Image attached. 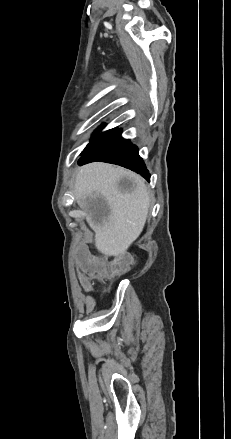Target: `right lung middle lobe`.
<instances>
[{"label":"right lung middle lobe","instance_id":"right-lung-middle-lobe-1","mask_svg":"<svg viewBox=\"0 0 231 439\" xmlns=\"http://www.w3.org/2000/svg\"><path fill=\"white\" fill-rule=\"evenodd\" d=\"M102 126H105V124H102V125L97 129V131H99V129H100ZM116 130H117V128L110 129V130H108V131H105V132H103V133H100V134L94 136V137L92 138V140L90 141V143H89V144L86 146V148L83 150V152L81 153V155L84 154V153H86L87 151H89L90 149H92L93 147H95L96 145H98L100 142H102L104 139H106L108 136H110V135H111L112 133H114Z\"/></svg>","mask_w":231,"mask_h":439}]
</instances>
